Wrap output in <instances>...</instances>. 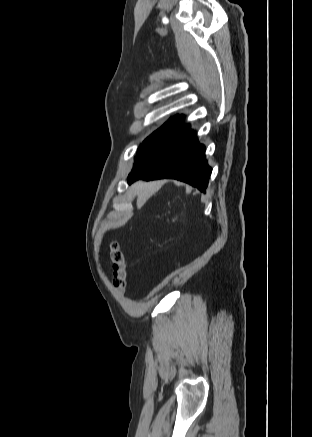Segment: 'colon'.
I'll use <instances>...</instances> for the list:
<instances>
[{"label":"colon","instance_id":"1","mask_svg":"<svg viewBox=\"0 0 312 437\" xmlns=\"http://www.w3.org/2000/svg\"><path fill=\"white\" fill-rule=\"evenodd\" d=\"M109 257L112 264L113 284L116 289L124 291L126 287L125 258L118 243H111Z\"/></svg>","mask_w":312,"mask_h":437}]
</instances>
